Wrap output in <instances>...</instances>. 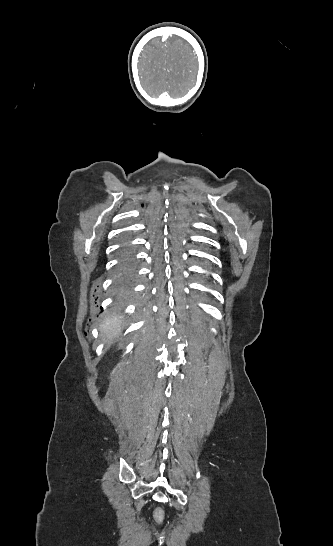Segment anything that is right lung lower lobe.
<instances>
[{"label": "right lung lower lobe", "instance_id": "right-lung-lower-lobe-1", "mask_svg": "<svg viewBox=\"0 0 333 546\" xmlns=\"http://www.w3.org/2000/svg\"><path fill=\"white\" fill-rule=\"evenodd\" d=\"M133 253L129 246L120 250V261L116 268L115 281L120 293H126L130 288V282L133 279Z\"/></svg>", "mask_w": 333, "mask_h": 546}]
</instances>
